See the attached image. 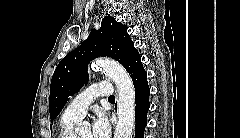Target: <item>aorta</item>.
<instances>
[{"label": "aorta", "instance_id": "aorta-1", "mask_svg": "<svg viewBox=\"0 0 240 138\" xmlns=\"http://www.w3.org/2000/svg\"><path fill=\"white\" fill-rule=\"evenodd\" d=\"M92 67L103 71L116 85L118 121L114 138H132L135 121V89L125 68L110 59H97Z\"/></svg>", "mask_w": 240, "mask_h": 138}]
</instances>
